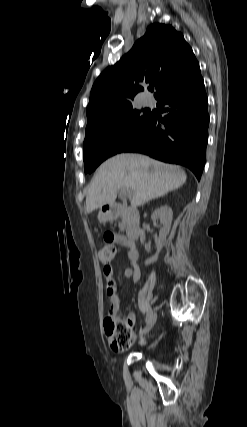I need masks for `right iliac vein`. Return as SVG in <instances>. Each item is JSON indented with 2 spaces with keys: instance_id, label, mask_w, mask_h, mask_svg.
Listing matches in <instances>:
<instances>
[{
  "instance_id": "63e3f726",
  "label": "right iliac vein",
  "mask_w": 247,
  "mask_h": 427,
  "mask_svg": "<svg viewBox=\"0 0 247 427\" xmlns=\"http://www.w3.org/2000/svg\"><path fill=\"white\" fill-rule=\"evenodd\" d=\"M156 320H157V314L152 313L151 316L149 317V319L147 320L146 326L142 330L141 335L148 333L152 329V327L154 326Z\"/></svg>"
}]
</instances>
